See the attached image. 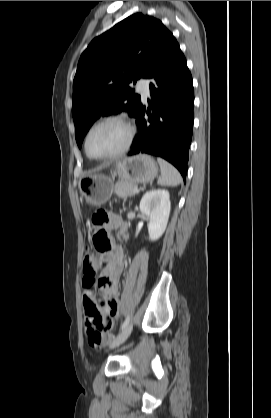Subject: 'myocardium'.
<instances>
[{
    "mask_svg": "<svg viewBox=\"0 0 271 418\" xmlns=\"http://www.w3.org/2000/svg\"><path fill=\"white\" fill-rule=\"evenodd\" d=\"M108 122H118L120 124H122L126 130H127V139L124 143V145L117 151L110 153L108 155H104V156H93L90 152H89V148H88V142H89V138L92 134V132L99 127L102 124L108 123ZM135 136V128L133 126V124L124 116L122 115H107L101 119H99L98 121H96L87 131L86 135H85V139H84V150L86 155L93 160H98V161H102V160H108V159H113L116 157H119L123 154H125L131 147L133 139Z\"/></svg>",
    "mask_w": 271,
    "mask_h": 418,
    "instance_id": "1",
    "label": "myocardium"
}]
</instances>
